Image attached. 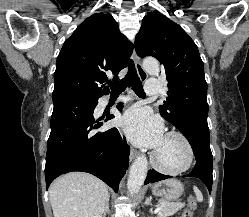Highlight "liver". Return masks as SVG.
Segmentation results:
<instances>
[{
    "instance_id": "liver-1",
    "label": "liver",
    "mask_w": 249,
    "mask_h": 217,
    "mask_svg": "<svg viewBox=\"0 0 249 217\" xmlns=\"http://www.w3.org/2000/svg\"><path fill=\"white\" fill-rule=\"evenodd\" d=\"M109 198L107 185L84 172H71L49 188L54 217H102Z\"/></svg>"
}]
</instances>
